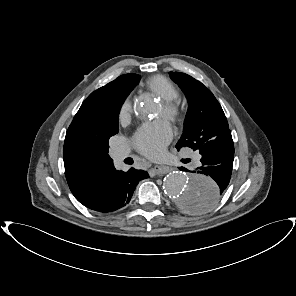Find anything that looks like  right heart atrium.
<instances>
[{
	"mask_svg": "<svg viewBox=\"0 0 296 296\" xmlns=\"http://www.w3.org/2000/svg\"><path fill=\"white\" fill-rule=\"evenodd\" d=\"M131 113H132V103L130 100L127 99L120 106V109L118 112L119 121L121 123L126 122L130 118Z\"/></svg>",
	"mask_w": 296,
	"mask_h": 296,
	"instance_id": "right-heart-atrium-1",
	"label": "right heart atrium"
}]
</instances>
